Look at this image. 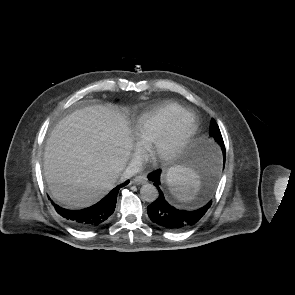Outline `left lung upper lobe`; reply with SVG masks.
<instances>
[{
    "instance_id": "5c2ea615",
    "label": "left lung upper lobe",
    "mask_w": 295,
    "mask_h": 295,
    "mask_svg": "<svg viewBox=\"0 0 295 295\" xmlns=\"http://www.w3.org/2000/svg\"><path fill=\"white\" fill-rule=\"evenodd\" d=\"M210 136L213 137L216 140V142H218L220 146L222 147V149L225 151V146H224L221 132L214 119H212L211 121Z\"/></svg>"
}]
</instances>
